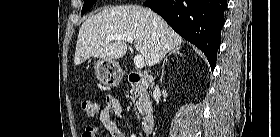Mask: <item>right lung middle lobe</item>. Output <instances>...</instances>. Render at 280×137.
I'll return each instance as SVG.
<instances>
[{
    "label": "right lung middle lobe",
    "instance_id": "obj_1",
    "mask_svg": "<svg viewBox=\"0 0 280 137\" xmlns=\"http://www.w3.org/2000/svg\"><path fill=\"white\" fill-rule=\"evenodd\" d=\"M97 0H84V5L82 8V14H84L85 12H87L96 2Z\"/></svg>",
    "mask_w": 280,
    "mask_h": 137
}]
</instances>
